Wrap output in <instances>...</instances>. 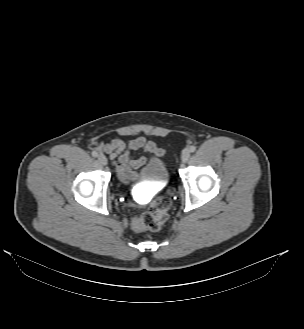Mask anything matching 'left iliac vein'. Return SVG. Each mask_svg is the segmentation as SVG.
I'll list each match as a JSON object with an SVG mask.
<instances>
[{
	"label": "left iliac vein",
	"instance_id": "obj_1",
	"mask_svg": "<svg viewBox=\"0 0 304 329\" xmlns=\"http://www.w3.org/2000/svg\"><path fill=\"white\" fill-rule=\"evenodd\" d=\"M190 158V151L189 150H184L181 155V160L182 162H187Z\"/></svg>",
	"mask_w": 304,
	"mask_h": 329
}]
</instances>
